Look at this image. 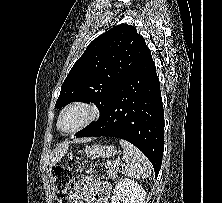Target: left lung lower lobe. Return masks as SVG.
<instances>
[{
    "label": "left lung lower lobe",
    "instance_id": "left-lung-lower-lobe-1",
    "mask_svg": "<svg viewBox=\"0 0 222 203\" xmlns=\"http://www.w3.org/2000/svg\"><path fill=\"white\" fill-rule=\"evenodd\" d=\"M90 136H112L132 143L151 161L158 175L164 150V111L149 48L113 93L99 119L76 135Z\"/></svg>",
    "mask_w": 222,
    "mask_h": 203
}]
</instances>
